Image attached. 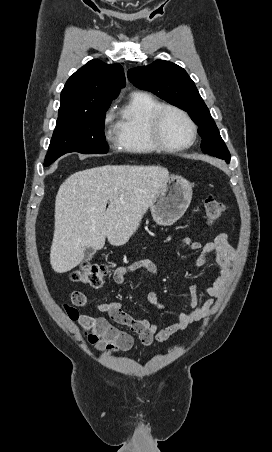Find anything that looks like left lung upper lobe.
Here are the masks:
<instances>
[{
    "label": "left lung upper lobe",
    "instance_id": "obj_1",
    "mask_svg": "<svg viewBox=\"0 0 272 452\" xmlns=\"http://www.w3.org/2000/svg\"><path fill=\"white\" fill-rule=\"evenodd\" d=\"M128 79L139 89L148 90L168 103L184 109L199 126L201 149L230 162V153L222 140L209 109L201 98L195 83L180 66L157 60L148 66L130 69Z\"/></svg>",
    "mask_w": 272,
    "mask_h": 452
}]
</instances>
